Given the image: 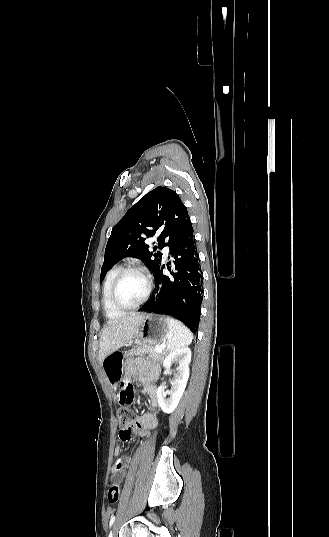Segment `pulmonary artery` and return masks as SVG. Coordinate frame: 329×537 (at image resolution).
<instances>
[{
	"label": "pulmonary artery",
	"mask_w": 329,
	"mask_h": 537,
	"mask_svg": "<svg viewBox=\"0 0 329 537\" xmlns=\"http://www.w3.org/2000/svg\"><path fill=\"white\" fill-rule=\"evenodd\" d=\"M163 252H164L165 255H167V254L169 253V248H168V247H165V248L163 249Z\"/></svg>",
	"instance_id": "obj_1"
}]
</instances>
